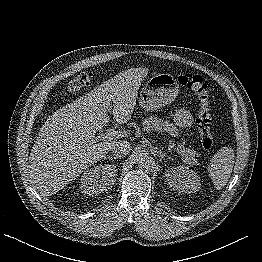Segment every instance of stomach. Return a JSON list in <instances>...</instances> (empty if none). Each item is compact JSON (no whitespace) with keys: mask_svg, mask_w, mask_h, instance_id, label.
Instances as JSON below:
<instances>
[{"mask_svg":"<svg viewBox=\"0 0 262 262\" xmlns=\"http://www.w3.org/2000/svg\"><path fill=\"white\" fill-rule=\"evenodd\" d=\"M179 93V84L168 73L153 75L140 92L139 105L146 110H158L175 100ZM175 124L179 127H189L192 117L186 109H178L173 114Z\"/></svg>","mask_w":262,"mask_h":262,"instance_id":"0dacf381","label":"stomach"}]
</instances>
